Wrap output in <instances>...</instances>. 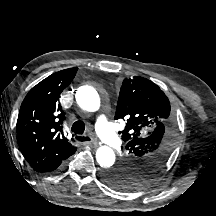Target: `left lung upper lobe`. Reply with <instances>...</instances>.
Returning a JSON list of instances; mask_svg holds the SVG:
<instances>
[{"mask_svg": "<svg viewBox=\"0 0 216 216\" xmlns=\"http://www.w3.org/2000/svg\"><path fill=\"white\" fill-rule=\"evenodd\" d=\"M114 119L126 120L120 162L103 172L118 190H134L165 165L177 137V112L159 86L143 77L124 79Z\"/></svg>", "mask_w": 216, "mask_h": 216, "instance_id": "obj_1", "label": "left lung upper lobe"}]
</instances>
